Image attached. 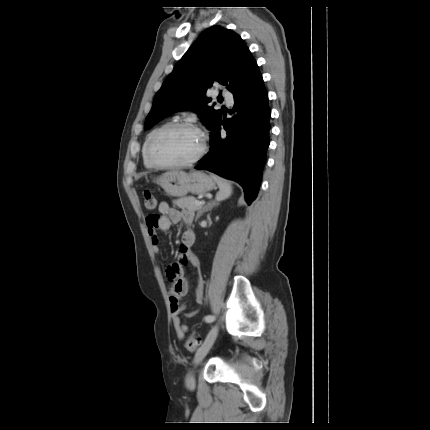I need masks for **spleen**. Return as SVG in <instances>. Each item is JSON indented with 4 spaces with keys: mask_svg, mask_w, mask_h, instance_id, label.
Masks as SVG:
<instances>
[{
    "mask_svg": "<svg viewBox=\"0 0 430 430\" xmlns=\"http://www.w3.org/2000/svg\"><path fill=\"white\" fill-rule=\"evenodd\" d=\"M212 179L218 184L219 186V192L216 194V200L222 201L231 196L232 193V187L227 182V180L217 176V175H211Z\"/></svg>",
    "mask_w": 430,
    "mask_h": 430,
    "instance_id": "3e777b00",
    "label": "spleen"
}]
</instances>
